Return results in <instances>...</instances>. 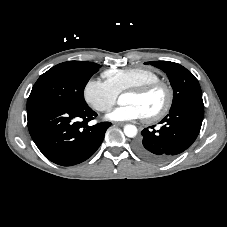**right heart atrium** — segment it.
<instances>
[{
	"label": "right heart atrium",
	"mask_w": 227,
	"mask_h": 227,
	"mask_svg": "<svg viewBox=\"0 0 227 227\" xmlns=\"http://www.w3.org/2000/svg\"><path fill=\"white\" fill-rule=\"evenodd\" d=\"M83 96L91 108L107 112L116 103L118 94L105 81L91 78L84 86Z\"/></svg>",
	"instance_id": "d8ad5b80"
}]
</instances>
